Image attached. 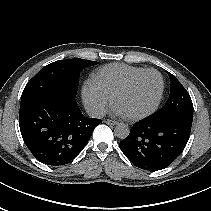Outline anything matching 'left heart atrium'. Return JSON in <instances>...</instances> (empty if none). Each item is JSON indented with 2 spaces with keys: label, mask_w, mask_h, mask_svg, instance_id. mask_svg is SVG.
<instances>
[{
  "label": "left heart atrium",
  "mask_w": 211,
  "mask_h": 211,
  "mask_svg": "<svg viewBox=\"0 0 211 211\" xmlns=\"http://www.w3.org/2000/svg\"><path fill=\"white\" fill-rule=\"evenodd\" d=\"M112 113L117 116H127L117 104L112 107Z\"/></svg>",
  "instance_id": "left-heart-atrium-1"
}]
</instances>
